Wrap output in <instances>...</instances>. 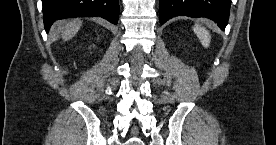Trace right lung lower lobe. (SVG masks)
<instances>
[{"label":"right lung lower lobe","instance_id":"right-lung-lower-lobe-1","mask_svg":"<svg viewBox=\"0 0 276 145\" xmlns=\"http://www.w3.org/2000/svg\"><path fill=\"white\" fill-rule=\"evenodd\" d=\"M43 21L46 32L58 19L100 16L117 24L118 0H42Z\"/></svg>","mask_w":276,"mask_h":145}]
</instances>
